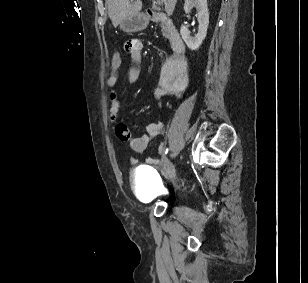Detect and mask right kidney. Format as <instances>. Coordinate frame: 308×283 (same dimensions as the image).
Wrapping results in <instances>:
<instances>
[{
  "label": "right kidney",
  "instance_id": "1",
  "mask_svg": "<svg viewBox=\"0 0 308 283\" xmlns=\"http://www.w3.org/2000/svg\"><path fill=\"white\" fill-rule=\"evenodd\" d=\"M193 7H196L197 9L199 23L198 34L194 37L190 36L189 30L185 25L181 26L180 34L189 49L197 50L201 46L203 40L206 38L209 25L207 0H185L184 11L186 14L190 13Z\"/></svg>",
  "mask_w": 308,
  "mask_h": 283
}]
</instances>
